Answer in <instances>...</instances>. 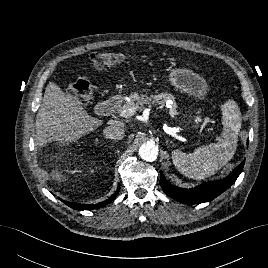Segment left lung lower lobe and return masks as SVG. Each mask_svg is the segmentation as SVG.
<instances>
[{
    "label": "left lung lower lobe",
    "mask_w": 268,
    "mask_h": 268,
    "mask_svg": "<svg viewBox=\"0 0 268 268\" xmlns=\"http://www.w3.org/2000/svg\"><path fill=\"white\" fill-rule=\"evenodd\" d=\"M244 162L245 161L236 167L226 178L219 181H210L192 189H183L171 185L165 179L162 172L160 176V185L163 191L169 197L179 202L186 204H199L208 202L219 196L236 181L243 169Z\"/></svg>",
    "instance_id": "1"
}]
</instances>
